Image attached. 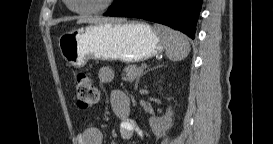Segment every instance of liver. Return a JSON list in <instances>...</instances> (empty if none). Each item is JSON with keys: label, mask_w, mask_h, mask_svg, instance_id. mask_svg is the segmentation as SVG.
<instances>
[{"label": "liver", "mask_w": 273, "mask_h": 144, "mask_svg": "<svg viewBox=\"0 0 273 144\" xmlns=\"http://www.w3.org/2000/svg\"><path fill=\"white\" fill-rule=\"evenodd\" d=\"M92 23V24H98V23H106V22H111V23H123L125 22L123 19H111V18H80L77 21V24L81 23Z\"/></svg>", "instance_id": "6515ba94"}]
</instances>
